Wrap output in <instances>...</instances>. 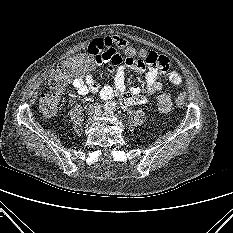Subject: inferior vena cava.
<instances>
[{
    "mask_svg": "<svg viewBox=\"0 0 233 233\" xmlns=\"http://www.w3.org/2000/svg\"><path fill=\"white\" fill-rule=\"evenodd\" d=\"M100 108H101V106L99 104H96V105L91 107L92 110H94V109L96 110V109H100Z\"/></svg>",
    "mask_w": 233,
    "mask_h": 233,
    "instance_id": "602c4592",
    "label": "inferior vena cava"
}]
</instances>
